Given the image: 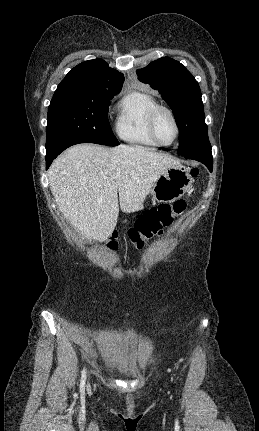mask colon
<instances>
[{
	"mask_svg": "<svg viewBox=\"0 0 259 431\" xmlns=\"http://www.w3.org/2000/svg\"><path fill=\"white\" fill-rule=\"evenodd\" d=\"M198 169H190V176L195 178ZM187 209V202L178 200L172 205L160 204L154 206L143 213L129 229L128 237L136 248L140 249L144 245V240L155 235H161L163 230L172 222L175 216L183 214ZM117 232H113L108 240L107 246L111 250L117 248Z\"/></svg>",
	"mask_w": 259,
	"mask_h": 431,
	"instance_id": "1",
	"label": "colon"
}]
</instances>
